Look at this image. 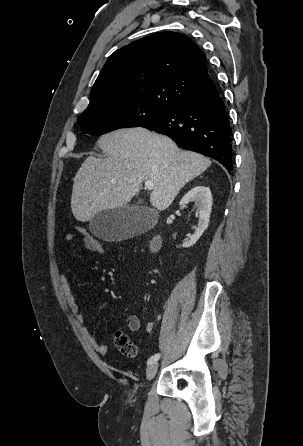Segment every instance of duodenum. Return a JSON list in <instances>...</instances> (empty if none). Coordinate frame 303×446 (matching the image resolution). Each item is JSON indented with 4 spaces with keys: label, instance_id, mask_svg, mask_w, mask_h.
<instances>
[{
    "label": "duodenum",
    "instance_id": "410a0bca",
    "mask_svg": "<svg viewBox=\"0 0 303 446\" xmlns=\"http://www.w3.org/2000/svg\"><path fill=\"white\" fill-rule=\"evenodd\" d=\"M159 246H160V239L157 237L153 238V240L150 243L151 249L156 250L159 248Z\"/></svg>",
    "mask_w": 303,
    "mask_h": 446
}]
</instances>
